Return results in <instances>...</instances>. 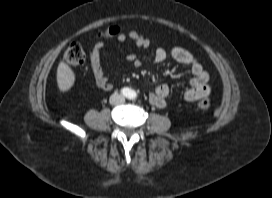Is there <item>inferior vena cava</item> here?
I'll list each match as a JSON object with an SVG mask.
<instances>
[{"label":"inferior vena cava","instance_id":"1","mask_svg":"<svg viewBox=\"0 0 272 198\" xmlns=\"http://www.w3.org/2000/svg\"><path fill=\"white\" fill-rule=\"evenodd\" d=\"M109 102L111 105H120L125 102V97L118 93H113L110 96Z\"/></svg>","mask_w":272,"mask_h":198}]
</instances>
